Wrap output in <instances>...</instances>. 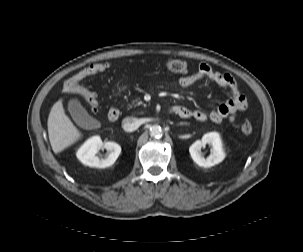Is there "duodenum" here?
<instances>
[{"label": "duodenum", "mask_w": 303, "mask_h": 252, "mask_svg": "<svg viewBox=\"0 0 303 252\" xmlns=\"http://www.w3.org/2000/svg\"><path fill=\"white\" fill-rule=\"evenodd\" d=\"M170 112L175 114L180 113L178 108L175 106L170 108ZM120 114H121V109L117 105H113L109 111V119L114 122L119 118Z\"/></svg>", "instance_id": "410a0bca"}]
</instances>
